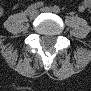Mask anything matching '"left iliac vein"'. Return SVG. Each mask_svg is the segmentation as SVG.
<instances>
[{
	"instance_id": "1",
	"label": "left iliac vein",
	"mask_w": 91,
	"mask_h": 91,
	"mask_svg": "<svg viewBox=\"0 0 91 91\" xmlns=\"http://www.w3.org/2000/svg\"><path fill=\"white\" fill-rule=\"evenodd\" d=\"M41 12H54V10L51 7H43L41 8Z\"/></svg>"
}]
</instances>
